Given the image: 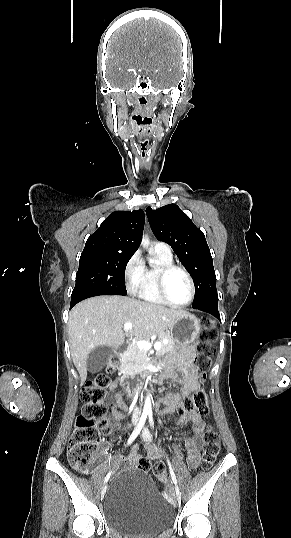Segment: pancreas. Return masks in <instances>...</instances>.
<instances>
[{"label": "pancreas", "instance_id": "pancreas-1", "mask_svg": "<svg viewBox=\"0 0 291 538\" xmlns=\"http://www.w3.org/2000/svg\"><path fill=\"white\" fill-rule=\"evenodd\" d=\"M167 339L168 343L164 344L161 341ZM158 340L162 343L160 349L157 350V355H163L170 351L174 346V340L168 333H160ZM149 358L146 350H142L137 346V342L130 345L129 349L122 356V363L128 364L133 373H140L148 364Z\"/></svg>", "mask_w": 291, "mask_h": 538}]
</instances>
